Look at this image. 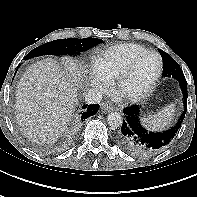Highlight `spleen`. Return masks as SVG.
Returning <instances> with one entry per match:
<instances>
[{
  "label": "spleen",
  "mask_w": 197,
  "mask_h": 197,
  "mask_svg": "<svg viewBox=\"0 0 197 197\" xmlns=\"http://www.w3.org/2000/svg\"><path fill=\"white\" fill-rule=\"evenodd\" d=\"M174 113V104H169L158 113L142 118L141 122L148 130L161 131L171 123Z\"/></svg>",
  "instance_id": "obj_1"
}]
</instances>
